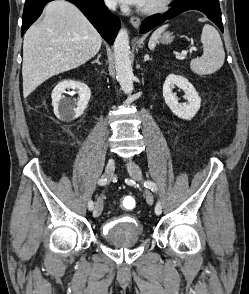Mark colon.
I'll use <instances>...</instances> for the list:
<instances>
[{
    "mask_svg": "<svg viewBox=\"0 0 249 294\" xmlns=\"http://www.w3.org/2000/svg\"><path fill=\"white\" fill-rule=\"evenodd\" d=\"M121 205L125 210H131L135 207L136 201L133 197L126 196L121 199Z\"/></svg>",
    "mask_w": 249,
    "mask_h": 294,
    "instance_id": "obj_1",
    "label": "colon"
}]
</instances>
